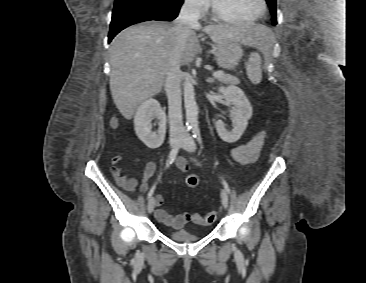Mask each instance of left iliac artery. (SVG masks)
Wrapping results in <instances>:
<instances>
[{"label":"left iliac artery","instance_id":"left-iliac-artery-1","mask_svg":"<svg viewBox=\"0 0 366 283\" xmlns=\"http://www.w3.org/2000/svg\"><path fill=\"white\" fill-rule=\"evenodd\" d=\"M192 133H193V137L196 138V140L201 144L202 139H201L200 130H199L198 125L195 124L192 126ZM222 183L224 185L225 190L229 193L230 192L229 186L224 179H222Z\"/></svg>","mask_w":366,"mask_h":283}]
</instances>
